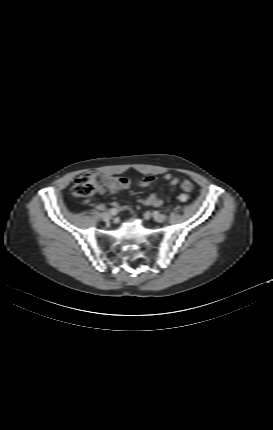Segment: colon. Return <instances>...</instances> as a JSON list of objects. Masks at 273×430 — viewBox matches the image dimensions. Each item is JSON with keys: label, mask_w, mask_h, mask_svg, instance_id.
Instances as JSON below:
<instances>
[{"label": "colon", "mask_w": 273, "mask_h": 430, "mask_svg": "<svg viewBox=\"0 0 273 430\" xmlns=\"http://www.w3.org/2000/svg\"><path fill=\"white\" fill-rule=\"evenodd\" d=\"M182 189L186 193L193 190V184L190 181L182 183ZM98 191V182L94 174H82L73 184L72 193L77 197H91Z\"/></svg>", "instance_id": "5ec220e1"}]
</instances>
